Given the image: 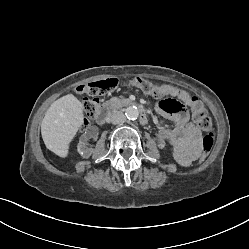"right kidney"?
I'll list each match as a JSON object with an SVG mask.
<instances>
[{
  "mask_svg": "<svg viewBox=\"0 0 249 249\" xmlns=\"http://www.w3.org/2000/svg\"><path fill=\"white\" fill-rule=\"evenodd\" d=\"M98 135V128L91 126L86 133H84L78 143L77 151L83 158H89L92 154V149L87 145H91L95 141V137Z\"/></svg>",
  "mask_w": 249,
  "mask_h": 249,
  "instance_id": "1",
  "label": "right kidney"
}]
</instances>
